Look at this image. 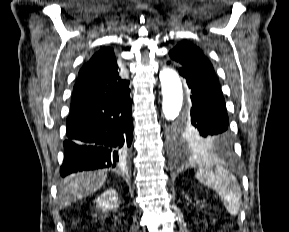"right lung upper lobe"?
Returning a JSON list of instances; mask_svg holds the SVG:
<instances>
[{
    "label": "right lung upper lobe",
    "mask_w": 289,
    "mask_h": 232,
    "mask_svg": "<svg viewBox=\"0 0 289 232\" xmlns=\"http://www.w3.org/2000/svg\"><path fill=\"white\" fill-rule=\"evenodd\" d=\"M129 81L119 68L112 48H103L79 71L71 108L113 99L129 90Z\"/></svg>",
    "instance_id": "obj_1"
}]
</instances>
